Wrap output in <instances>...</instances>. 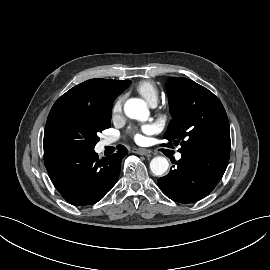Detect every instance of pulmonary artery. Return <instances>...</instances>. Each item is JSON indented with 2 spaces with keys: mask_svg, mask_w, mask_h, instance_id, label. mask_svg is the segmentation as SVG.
<instances>
[{
  "mask_svg": "<svg viewBox=\"0 0 270 270\" xmlns=\"http://www.w3.org/2000/svg\"><path fill=\"white\" fill-rule=\"evenodd\" d=\"M156 104H153L152 106H155ZM116 140L115 139H113V138H107L105 141H104V144L105 145H110V144H112V143H114ZM181 158V154L180 153H178V154H176V159H180Z\"/></svg>",
  "mask_w": 270,
  "mask_h": 270,
  "instance_id": "e3ab8cb5",
  "label": "pulmonary artery"
}]
</instances>
